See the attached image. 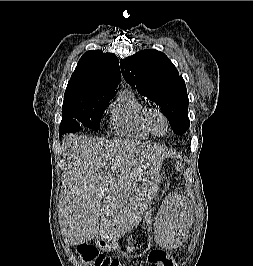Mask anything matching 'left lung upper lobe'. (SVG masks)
<instances>
[{
	"mask_svg": "<svg viewBox=\"0 0 253 266\" xmlns=\"http://www.w3.org/2000/svg\"><path fill=\"white\" fill-rule=\"evenodd\" d=\"M120 65L126 82L161 107L174 133L183 134L189 129L185 81L164 53L139 51L122 59Z\"/></svg>",
	"mask_w": 253,
	"mask_h": 266,
	"instance_id": "1",
	"label": "left lung upper lobe"
}]
</instances>
